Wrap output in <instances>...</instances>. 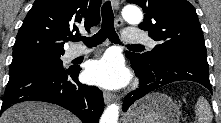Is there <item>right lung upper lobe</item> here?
Masks as SVG:
<instances>
[{
    "mask_svg": "<svg viewBox=\"0 0 221 123\" xmlns=\"http://www.w3.org/2000/svg\"><path fill=\"white\" fill-rule=\"evenodd\" d=\"M101 0H36L20 27L13 54L65 52L64 43L100 22Z\"/></svg>",
    "mask_w": 221,
    "mask_h": 123,
    "instance_id": "obj_1",
    "label": "right lung upper lobe"
}]
</instances>
